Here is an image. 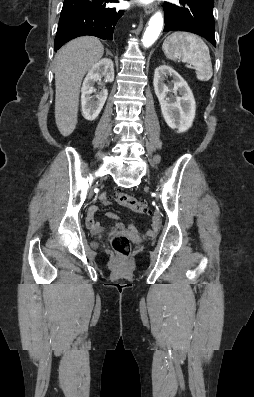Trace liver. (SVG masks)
<instances>
[{
    "label": "liver",
    "mask_w": 254,
    "mask_h": 397,
    "mask_svg": "<svg viewBox=\"0 0 254 397\" xmlns=\"http://www.w3.org/2000/svg\"><path fill=\"white\" fill-rule=\"evenodd\" d=\"M103 53L104 47L99 39L84 36L64 45L55 56V121L65 137L74 131L77 124L82 79Z\"/></svg>",
    "instance_id": "liver-1"
}]
</instances>
